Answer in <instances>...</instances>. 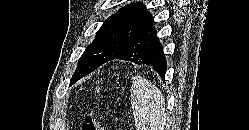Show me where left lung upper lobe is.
<instances>
[{
    "mask_svg": "<svg viewBox=\"0 0 249 130\" xmlns=\"http://www.w3.org/2000/svg\"><path fill=\"white\" fill-rule=\"evenodd\" d=\"M152 23V15L141 2L123 7L111 15L79 58L70 85L111 60Z\"/></svg>",
    "mask_w": 249,
    "mask_h": 130,
    "instance_id": "5c2ea615",
    "label": "left lung upper lobe"
}]
</instances>
